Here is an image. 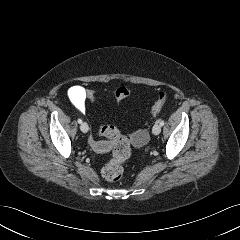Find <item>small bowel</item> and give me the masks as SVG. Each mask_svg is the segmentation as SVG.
I'll return each mask as SVG.
<instances>
[{"mask_svg":"<svg viewBox=\"0 0 240 240\" xmlns=\"http://www.w3.org/2000/svg\"><path fill=\"white\" fill-rule=\"evenodd\" d=\"M68 97L71 103L80 112L85 111L86 102V89L82 86H73L68 90ZM134 139L142 138V142L136 143L135 145L140 146L147 140V133L145 131H138L133 135ZM90 146L100 153L108 152L112 147V142L110 141H97L94 138L89 139Z\"/></svg>","mask_w":240,"mask_h":240,"instance_id":"1","label":"small bowel"}]
</instances>
